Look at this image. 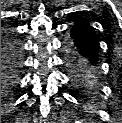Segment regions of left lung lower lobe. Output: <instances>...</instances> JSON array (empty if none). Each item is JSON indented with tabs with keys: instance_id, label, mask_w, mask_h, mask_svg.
I'll use <instances>...</instances> for the list:
<instances>
[{
	"instance_id": "0a47b994",
	"label": "left lung lower lobe",
	"mask_w": 122,
	"mask_h": 123,
	"mask_svg": "<svg viewBox=\"0 0 122 123\" xmlns=\"http://www.w3.org/2000/svg\"><path fill=\"white\" fill-rule=\"evenodd\" d=\"M99 48L94 29L84 19L78 20L64 39L67 68L74 84L81 89L91 91Z\"/></svg>"
}]
</instances>
